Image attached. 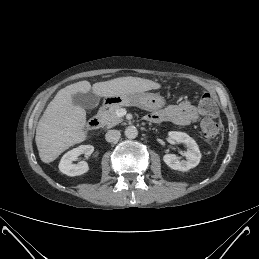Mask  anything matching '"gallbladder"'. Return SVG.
I'll return each mask as SVG.
<instances>
[{
    "mask_svg": "<svg viewBox=\"0 0 259 259\" xmlns=\"http://www.w3.org/2000/svg\"><path fill=\"white\" fill-rule=\"evenodd\" d=\"M72 102L75 105L81 106L85 110H92L98 105L99 98L93 92L75 93L72 95Z\"/></svg>",
    "mask_w": 259,
    "mask_h": 259,
    "instance_id": "obj_1",
    "label": "gallbladder"
}]
</instances>
